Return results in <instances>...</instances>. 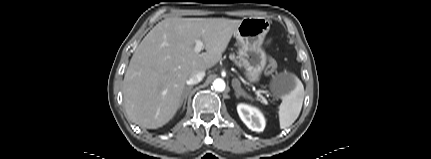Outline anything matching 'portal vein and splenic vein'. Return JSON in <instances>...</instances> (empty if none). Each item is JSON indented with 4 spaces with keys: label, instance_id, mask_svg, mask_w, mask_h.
I'll use <instances>...</instances> for the list:
<instances>
[{
    "label": "portal vein and splenic vein",
    "instance_id": "portal-vein-and-splenic-vein-1",
    "mask_svg": "<svg viewBox=\"0 0 431 159\" xmlns=\"http://www.w3.org/2000/svg\"><path fill=\"white\" fill-rule=\"evenodd\" d=\"M204 44L201 40H197L195 47H194V52L195 53H200L201 50L203 49ZM256 94L258 97H260L262 99V102L266 103V99L261 95V91H256Z\"/></svg>",
    "mask_w": 431,
    "mask_h": 159
}]
</instances>
